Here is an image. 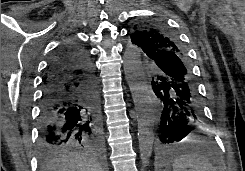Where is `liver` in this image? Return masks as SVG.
<instances>
[{
    "label": "liver",
    "mask_w": 245,
    "mask_h": 171,
    "mask_svg": "<svg viewBox=\"0 0 245 171\" xmlns=\"http://www.w3.org/2000/svg\"><path fill=\"white\" fill-rule=\"evenodd\" d=\"M43 169L44 171H104L101 164L79 153L56 158Z\"/></svg>",
    "instance_id": "obj_1"
}]
</instances>
